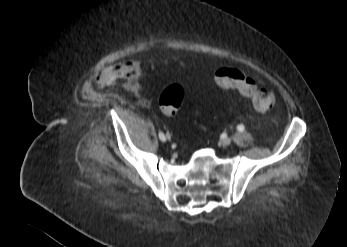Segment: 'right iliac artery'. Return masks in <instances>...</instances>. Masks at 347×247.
<instances>
[{
    "instance_id": "82829eb1",
    "label": "right iliac artery",
    "mask_w": 347,
    "mask_h": 247,
    "mask_svg": "<svg viewBox=\"0 0 347 247\" xmlns=\"http://www.w3.org/2000/svg\"><path fill=\"white\" fill-rule=\"evenodd\" d=\"M159 138H160V140H162V141H165V140H166L165 135H164L162 132H159Z\"/></svg>"
}]
</instances>
